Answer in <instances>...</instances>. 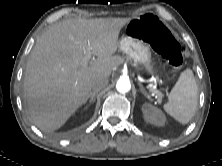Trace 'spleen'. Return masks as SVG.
Instances as JSON below:
<instances>
[{
    "instance_id": "spleen-1",
    "label": "spleen",
    "mask_w": 222,
    "mask_h": 166,
    "mask_svg": "<svg viewBox=\"0 0 222 166\" xmlns=\"http://www.w3.org/2000/svg\"><path fill=\"white\" fill-rule=\"evenodd\" d=\"M198 87L191 69L184 70L172 88L164 110L179 123L187 124L195 115Z\"/></svg>"
}]
</instances>
